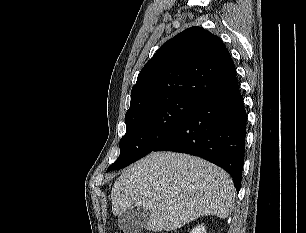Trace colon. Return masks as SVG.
<instances>
[{"instance_id":"1","label":"colon","mask_w":306,"mask_h":233,"mask_svg":"<svg viewBox=\"0 0 306 233\" xmlns=\"http://www.w3.org/2000/svg\"><path fill=\"white\" fill-rule=\"evenodd\" d=\"M115 233H118V232H115ZM119 233H124V232H119Z\"/></svg>"}]
</instances>
